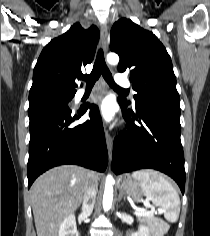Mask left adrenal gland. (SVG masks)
Listing matches in <instances>:
<instances>
[{
  "mask_svg": "<svg viewBox=\"0 0 210 236\" xmlns=\"http://www.w3.org/2000/svg\"><path fill=\"white\" fill-rule=\"evenodd\" d=\"M122 197H123V193H122V191H120L118 200L120 201L122 199Z\"/></svg>",
  "mask_w": 210,
  "mask_h": 236,
  "instance_id": "obj_1",
  "label": "left adrenal gland"
}]
</instances>
